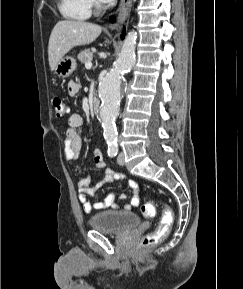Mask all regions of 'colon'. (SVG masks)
I'll use <instances>...</instances> for the list:
<instances>
[{
    "label": "colon",
    "mask_w": 243,
    "mask_h": 289,
    "mask_svg": "<svg viewBox=\"0 0 243 289\" xmlns=\"http://www.w3.org/2000/svg\"><path fill=\"white\" fill-rule=\"evenodd\" d=\"M53 109L57 117H63L66 114L67 108L61 97H55L53 99ZM141 213L145 217H153L155 215L154 203L152 201L144 203L141 206ZM172 223H173V212L169 207L165 206L163 209L159 226L154 231L142 237L140 246L150 247L160 242L169 233Z\"/></svg>",
    "instance_id": "1"
}]
</instances>
